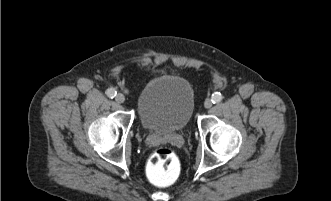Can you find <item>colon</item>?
<instances>
[{
    "instance_id": "5ec220e1",
    "label": "colon",
    "mask_w": 331,
    "mask_h": 201,
    "mask_svg": "<svg viewBox=\"0 0 331 201\" xmlns=\"http://www.w3.org/2000/svg\"><path fill=\"white\" fill-rule=\"evenodd\" d=\"M149 180L159 187L173 184L180 174V162L176 153L167 147L153 151L146 165Z\"/></svg>"
}]
</instances>
